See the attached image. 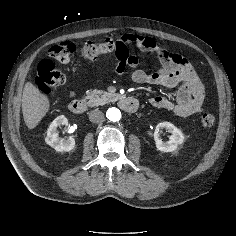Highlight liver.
Returning a JSON list of instances; mask_svg holds the SVG:
<instances>
[{"instance_id": "6515ba94", "label": "liver", "mask_w": 236, "mask_h": 236, "mask_svg": "<svg viewBox=\"0 0 236 236\" xmlns=\"http://www.w3.org/2000/svg\"><path fill=\"white\" fill-rule=\"evenodd\" d=\"M49 109L48 97L43 95L31 82H27L22 95V113L26 126L34 129Z\"/></svg>"}]
</instances>
